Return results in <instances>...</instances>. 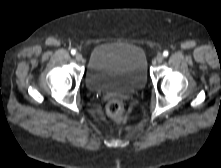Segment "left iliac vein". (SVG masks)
Segmentation results:
<instances>
[{
  "instance_id": "4c4485c4",
  "label": "left iliac vein",
  "mask_w": 221,
  "mask_h": 168,
  "mask_svg": "<svg viewBox=\"0 0 221 168\" xmlns=\"http://www.w3.org/2000/svg\"><path fill=\"white\" fill-rule=\"evenodd\" d=\"M156 60L158 63H162L164 60V56L162 54H158L156 57Z\"/></svg>"
}]
</instances>
